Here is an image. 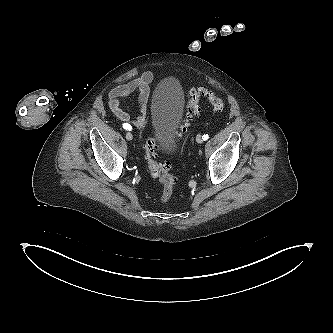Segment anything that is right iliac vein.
I'll return each mask as SVG.
<instances>
[{
	"mask_svg": "<svg viewBox=\"0 0 333 333\" xmlns=\"http://www.w3.org/2000/svg\"><path fill=\"white\" fill-rule=\"evenodd\" d=\"M126 139H127L128 141H131V140L133 139V135H132L130 132H127V133H126Z\"/></svg>",
	"mask_w": 333,
	"mask_h": 333,
	"instance_id": "63e3f726",
	"label": "right iliac vein"
}]
</instances>
